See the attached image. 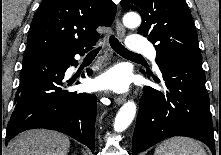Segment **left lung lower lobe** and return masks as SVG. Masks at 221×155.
Returning a JSON list of instances; mask_svg holds the SVG:
<instances>
[{"instance_id":"0a47b994","label":"left lung lower lobe","mask_w":221,"mask_h":155,"mask_svg":"<svg viewBox=\"0 0 221 155\" xmlns=\"http://www.w3.org/2000/svg\"><path fill=\"white\" fill-rule=\"evenodd\" d=\"M163 90L145 87L132 141V155L172 136L204 142L215 155L209 96L201 60L168 56L157 62ZM148 77L150 74L147 72ZM160 83L158 79H155Z\"/></svg>"}]
</instances>
